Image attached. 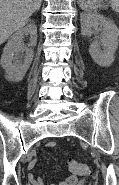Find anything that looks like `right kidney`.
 Here are the masks:
<instances>
[{
    "mask_svg": "<svg viewBox=\"0 0 119 185\" xmlns=\"http://www.w3.org/2000/svg\"><path fill=\"white\" fill-rule=\"evenodd\" d=\"M24 35H30L28 47L24 46ZM37 44V27L30 23L16 31L6 44L1 57V65L6 72V79L12 82L21 81L33 60V47ZM24 57L20 53H24Z\"/></svg>",
    "mask_w": 119,
    "mask_h": 185,
    "instance_id": "obj_1",
    "label": "right kidney"
}]
</instances>
